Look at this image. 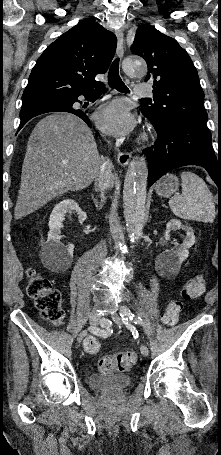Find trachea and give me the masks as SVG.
<instances>
[{"label": "trachea", "mask_w": 221, "mask_h": 455, "mask_svg": "<svg viewBox=\"0 0 221 455\" xmlns=\"http://www.w3.org/2000/svg\"><path fill=\"white\" fill-rule=\"evenodd\" d=\"M108 84L110 87H113L122 93H129V89L123 83L122 79L119 76V58H116L109 69L108 73ZM146 99V98H143Z\"/></svg>", "instance_id": "obj_1"}]
</instances>
